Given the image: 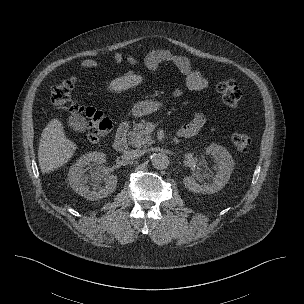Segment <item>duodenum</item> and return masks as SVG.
Wrapping results in <instances>:
<instances>
[{
  "instance_id": "duodenum-1",
  "label": "duodenum",
  "mask_w": 304,
  "mask_h": 304,
  "mask_svg": "<svg viewBox=\"0 0 304 304\" xmlns=\"http://www.w3.org/2000/svg\"><path fill=\"white\" fill-rule=\"evenodd\" d=\"M129 123L122 122L117 131L114 140V148L118 152H125L128 149V131H129Z\"/></svg>"
}]
</instances>
